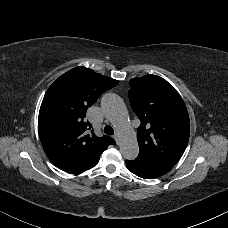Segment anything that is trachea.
I'll list each match as a JSON object with an SVG mask.
<instances>
[{
	"mask_svg": "<svg viewBox=\"0 0 228 228\" xmlns=\"http://www.w3.org/2000/svg\"><path fill=\"white\" fill-rule=\"evenodd\" d=\"M104 133L107 135H113L114 134V130L110 125H107L104 127Z\"/></svg>",
	"mask_w": 228,
	"mask_h": 228,
	"instance_id": "obj_1",
	"label": "trachea"
}]
</instances>
